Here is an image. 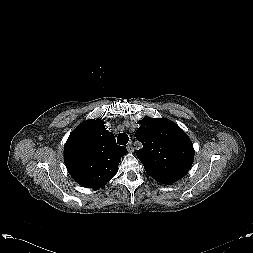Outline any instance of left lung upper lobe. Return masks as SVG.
<instances>
[{"label":"left lung upper lobe","mask_w":253,"mask_h":253,"mask_svg":"<svg viewBox=\"0 0 253 253\" xmlns=\"http://www.w3.org/2000/svg\"><path fill=\"white\" fill-rule=\"evenodd\" d=\"M136 138L143 144L136 152L146 172L186 175L194 159V148L187 134L167 119L145 116L137 122Z\"/></svg>","instance_id":"5c2ea615"}]
</instances>
